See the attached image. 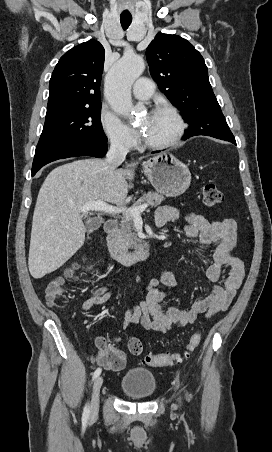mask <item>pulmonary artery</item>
<instances>
[{"mask_svg": "<svg viewBox=\"0 0 272 452\" xmlns=\"http://www.w3.org/2000/svg\"><path fill=\"white\" fill-rule=\"evenodd\" d=\"M133 95L138 100L149 99L154 92V84L151 80L142 77L136 81L132 89Z\"/></svg>", "mask_w": 272, "mask_h": 452, "instance_id": "1", "label": "pulmonary artery"}]
</instances>
